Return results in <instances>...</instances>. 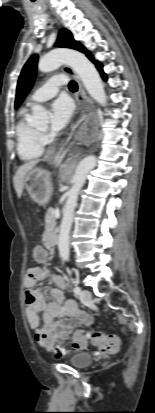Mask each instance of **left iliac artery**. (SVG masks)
Wrapping results in <instances>:
<instances>
[{
    "label": "left iliac artery",
    "mask_w": 155,
    "mask_h": 413,
    "mask_svg": "<svg viewBox=\"0 0 155 413\" xmlns=\"http://www.w3.org/2000/svg\"><path fill=\"white\" fill-rule=\"evenodd\" d=\"M75 295H79L81 293V288L79 286H76L73 290Z\"/></svg>",
    "instance_id": "obj_1"
}]
</instances>
